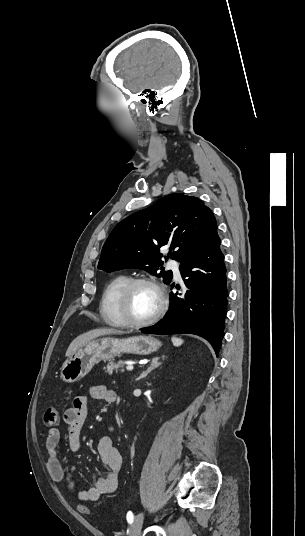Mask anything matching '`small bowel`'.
<instances>
[{
	"instance_id": "c3829d8e",
	"label": "small bowel",
	"mask_w": 305,
	"mask_h": 536,
	"mask_svg": "<svg viewBox=\"0 0 305 536\" xmlns=\"http://www.w3.org/2000/svg\"><path fill=\"white\" fill-rule=\"evenodd\" d=\"M94 399L113 402L116 393L104 386H94L90 390ZM87 416V397L77 396L72 406L64 413V423L67 426L69 447L72 451L81 448V434ZM112 431L113 427L110 426ZM61 434L58 428L52 427L47 432L45 440V465L50 477L55 482L64 481L68 490L76 494L78 500H98L104 494L116 491L119 484L123 457L109 436H102L97 443L98 456L106 468V472L97 477L92 488L77 491L76 480L72 472L67 471L59 458V442Z\"/></svg>"
}]
</instances>
